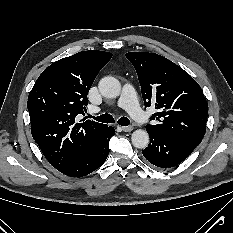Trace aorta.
<instances>
[{"mask_svg": "<svg viewBox=\"0 0 233 233\" xmlns=\"http://www.w3.org/2000/svg\"><path fill=\"white\" fill-rule=\"evenodd\" d=\"M100 93L106 98H116L121 92L120 82L111 76L102 78L98 84ZM131 141L134 147L144 149L149 144L147 131L139 129L132 133Z\"/></svg>", "mask_w": 233, "mask_h": 233, "instance_id": "obj_1", "label": "aorta"}]
</instances>
